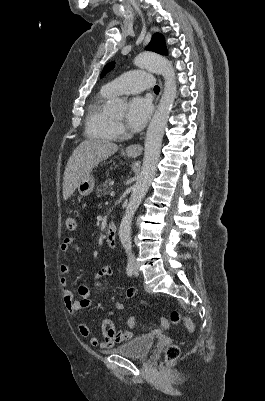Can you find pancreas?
<instances>
[{
    "instance_id": "cf45deb5",
    "label": "pancreas",
    "mask_w": 265,
    "mask_h": 401,
    "mask_svg": "<svg viewBox=\"0 0 265 401\" xmlns=\"http://www.w3.org/2000/svg\"><path fill=\"white\" fill-rule=\"evenodd\" d=\"M112 184L113 180H111V178H108V180H105V182L98 184L96 188L98 196H101V194H108V190H111ZM102 186H106V188H102Z\"/></svg>"
}]
</instances>
